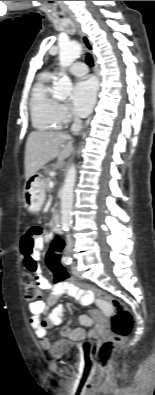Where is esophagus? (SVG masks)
Wrapping results in <instances>:
<instances>
[{
    "label": "esophagus",
    "mask_w": 155,
    "mask_h": 395,
    "mask_svg": "<svg viewBox=\"0 0 155 395\" xmlns=\"http://www.w3.org/2000/svg\"><path fill=\"white\" fill-rule=\"evenodd\" d=\"M70 17H71V18L75 21V23H76V26H77L79 35H80V37H81V41H82V43H83V45H84L86 51H87L88 53H90V54L93 56L94 62L96 63V58H95V56H94L93 47H92V44H91V42H90V40H89V37H88L87 34L82 30L81 25H80V23L77 21V19L75 18V16L72 15V14H70ZM90 119H91V118H89V119L85 122V125H88V124H89Z\"/></svg>",
    "instance_id": "1"
}]
</instances>
